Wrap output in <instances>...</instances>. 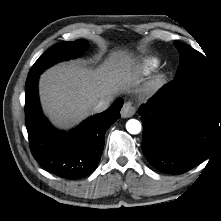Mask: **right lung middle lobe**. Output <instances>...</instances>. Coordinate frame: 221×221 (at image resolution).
I'll return each mask as SVG.
<instances>
[{
	"mask_svg": "<svg viewBox=\"0 0 221 221\" xmlns=\"http://www.w3.org/2000/svg\"><path fill=\"white\" fill-rule=\"evenodd\" d=\"M86 47L87 43L83 40L65 41L52 46L42 54L32 66L27 81L39 76L45 69L59 61L78 57L83 53Z\"/></svg>",
	"mask_w": 221,
	"mask_h": 221,
	"instance_id": "obj_1",
	"label": "right lung middle lobe"
}]
</instances>
